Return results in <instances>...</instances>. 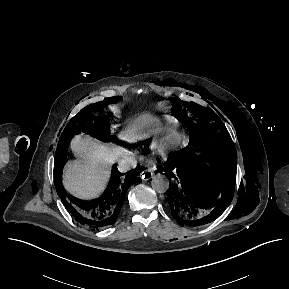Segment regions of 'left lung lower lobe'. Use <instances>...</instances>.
Segmentation results:
<instances>
[{"label": "left lung lower lobe", "instance_id": "obj_1", "mask_svg": "<svg viewBox=\"0 0 289 289\" xmlns=\"http://www.w3.org/2000/svg\"><path fill=\"white\" fill-rule=\"evenodd\" d=\"M200 145L204 153L198 154L187 147L170 156L164 169L170 182L171 193L166 198L170 211L179 224L185 226L204 225L218 218L234 193L236 163L221 168L213 149L204 143ZM201 159L207 160L212 172L219 175L213 192L206 189L197 175L196 166Z\"/></svg>", "mask_w": 289, "mask_h": 289}]
</instances>
